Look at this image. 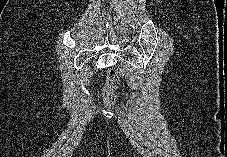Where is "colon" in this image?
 <instances>
[{
    "mask_svg": "<svg viewBox=\"0 0 227 157\" xmlns=\"http://www.w3.org/2000/svg\"><path fill=\"white\" fill-rule=\"evenodd\" d=\"M120 84V77L116 69L111 68L107 72L106 89L108 91L107 104L112 105L114 103V92L118 89Z\"/></svg>",
    "mask_w": 227,
    "mask_h": 157,
    "instance_id": "colon-1",
    "label": "colon"
}]
</instances>
